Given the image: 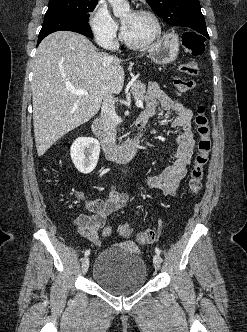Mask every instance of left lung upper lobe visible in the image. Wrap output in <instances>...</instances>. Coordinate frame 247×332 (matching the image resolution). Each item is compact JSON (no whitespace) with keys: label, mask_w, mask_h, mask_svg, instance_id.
<instances>
[{"label":"left lung upper lobe","mask_w":247,"mask_h":332,"mask_svg":"<svg viewBox=\"0 0 247 332\" xmlns=\"http://www.w3.org/2000/svg\"><path fill=\"white\" fill-rule=\"evenodd\" d=\"M150 7L168 24L191 30L206 26L199 0H146Z\"/></svg>","instance_id":"obj_1"}]
</instances>
